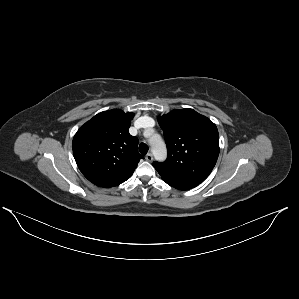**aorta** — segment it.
I'll return each mask as SVG.
<instances>
[{"mask_svg": "<svg viewBox=\"0 0 299 299\" xmlns=\"http://www.w3.org/2000/svg\"><path fill=\"white\" fill-rule=\"evenodd\" d=\"M151 150L156 160L164 161L167 156L166 145L159 135L150 140Z\"/></svg>", "mask_w": 299, "mask_h": 299, "instance_id": "762f6f07", "label": "aorta"}]
</instances>
